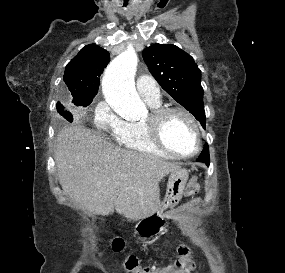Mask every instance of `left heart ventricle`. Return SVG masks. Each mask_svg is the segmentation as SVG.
Here are the masks:
<instances>
[{
  "mask_svg": "<svg viewBox=\"0 0 285 273\" xmlns=\"http://www.w3.org/2000/svg\"><path fill=\"white\" fill-rule=\"evenodd\" d=\"M148 119V118H147ZM164 143L179 154H190L196 146V134L192 123L183 115H168L161 128Z\"/></svg>",
  "mask_w": 285,
  "mask_h": 273,
  "instance_id": "obj_1",
  "label": "left heart ventricle"
}]
</instances>
